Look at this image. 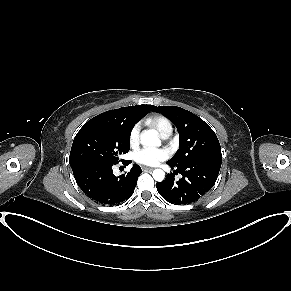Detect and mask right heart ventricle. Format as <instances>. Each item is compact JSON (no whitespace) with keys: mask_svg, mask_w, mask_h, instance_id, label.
Returning <instances> with one entry per match:
<instances>
[{"mask_svg":"<svg viewBox=\"0 0 291 291\" xmlns=\"http://www.w3.org/2000/svg\"><path fill=\"white\" fill-rule=\"evenodd\" d=\"M148 123L155 128L160 134H163L166 130H172L171 122L162 115H154L148 119Z\"/></svg>","mask_w":291,"mask_h":291,"instance_id":"obj_1","label":"right heart ventricle"}]
</instances>
